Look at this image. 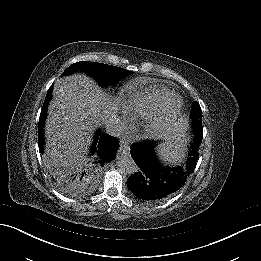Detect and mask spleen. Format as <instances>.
Returning a JSON list of instances; mask_svg holds the SVG:
<instances>
[{"label":"spleen","mask_w":261,"mask_h":261,"mask_svg":"<svg viewBox=\"0 0 261 261\" xmlns=\"http://www.w3.org/2000/svg\"><path fill=\"white\" fill-rule=\"evenodd\" d=\"M187 137H178L172 142H167L159 147V153L164 161L176 163L185 157Z\"/></svg>","instance_id":"1"}]
</instances>
